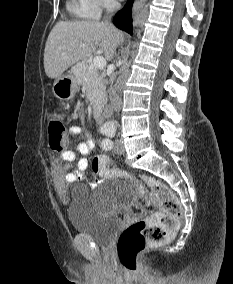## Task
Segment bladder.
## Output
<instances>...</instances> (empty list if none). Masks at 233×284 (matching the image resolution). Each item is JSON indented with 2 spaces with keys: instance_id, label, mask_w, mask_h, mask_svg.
Masks as SVG:
<instances>
[{
  "instance_id": "31cf9c89",
  "label": "bladder",
  "mask_w": 233,
  "mask_h": 284,
  "mask_svg": "<svg viewBox=\"0 0 233 284\" xmlns=\"http://www.w3.org/2000/svg\"><path fill=\"white\" fill-rule=\"evenodd\" d=\"M133 195L131 186L122 180L109 182L100 199H95L86 187L76 185L70 193L68 219L76 232L90 237L99 245L108 246L120 229L121 221L103 214L99 207L123 206L131 201Z\"/></svg>"
}]
</instances>
